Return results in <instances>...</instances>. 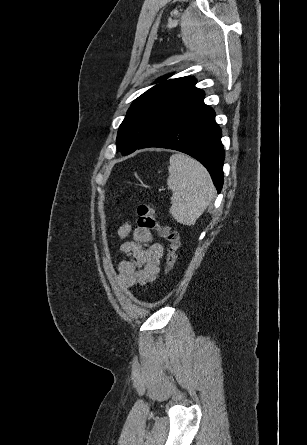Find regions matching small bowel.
Returning <instances> with one entry per match:
<instances>
[{
    "mask_svg": "<svg viewBox=\"0 0 307 445\" xmlns=\"http://www.w3.org/2000/svg\"><path fill=\"white\" fill-rule=\"evenodd\" d=\"M130 232L129 222L123 223L118 231L119 249L126 258L118 263L117 270L120 282L128 288L153 282L158 277L164 253L162 244L155 240L150 230L135 228L133 239L129 241L126 239Z\"/></svg>",
    "mask_w": 307,
    "mask_h": 445,
    "instance_id": "1",
    "label": "small bowel"
}]
</instances>
